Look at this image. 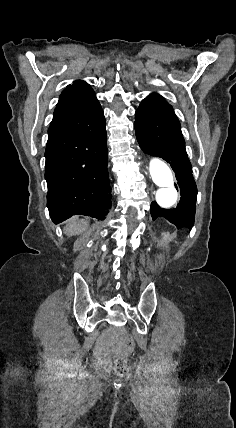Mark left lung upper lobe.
Masks as SVG:
<instances>
[{"label": "left lung upper lobe", "mask_w": 236, "mask_h": 428, "mask_svg": "<svg viewBox=\"0 0 236 428\" xmlns=\"http://www.w3.org/2000/svg\"><path fill=\"white\" fill-rule=\"evenodd\" d=\"M147 101H155V102H159V103L168 104L165 101V99L158 94H152V95L146 97L142 102H147Z\"/></svg>", "instance_id": "5c2ea615"}]
</instances>
